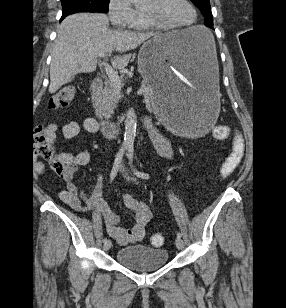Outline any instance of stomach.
Returning a JSON list of instances; mask_svg holds the SVG:
<instances>
[{"label":"stomach","mask_w":286,"mask_h":308,"mask_svg":"<svg viewBox=\"0 0 286 308\" xmlns=\"http://www.w3.org/2000/svg\"><path fill=\"white\" fill-rule=\"evenodd\" d=\"M216 55L213 36L202 26L182 30L181 36H153L141 47L138 68L152 88L151 107L173 132H204V125H215Z\"/></svg>","instance_id":"obj_1"}]
</instances>
